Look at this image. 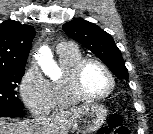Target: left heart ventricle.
Instances as JSON below:
<instances>
[{
    "mask_svg": "<svg viewBox=\"0 0 153 134\" xmlns=\"http://www.w3.org/2000/svg\"><path fill=\"white\" fill-rule=\"evenodd\" d=\"M82 82L84 90L91 95L103 94L111 86L108 75L96 64H90L86 67Z\"/></svg>",
    "mask_w": 153,
    "mask_h": 134,
    "instance_id": "obj_1",
    "label": "left heart ventricle"
}]
</instances>
